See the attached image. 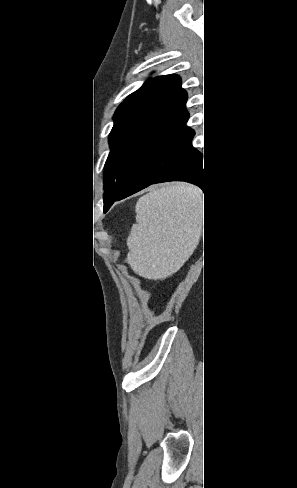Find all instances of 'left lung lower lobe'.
<instances>
[{
	"instance_id": "1",
	"label": "left lung lower lobe",
	"mask_w": 297,
	"mask_h": 488,
	"mask_svg": "<svg viewBox=\"0 0 297 488\" xmlns=\"http://www.w3.org/2000/svg\"><path fill=\"white\" fill-rule=\"evenodd\" d=\"M194 134L191 128L186 127L167 142L138 170L123 191L105 206L104 212L115 201L155 183L185 181L199 186L205 193L206 172L201 164L202 154L191 145Z\"/></svg>"
}]
</instances>
